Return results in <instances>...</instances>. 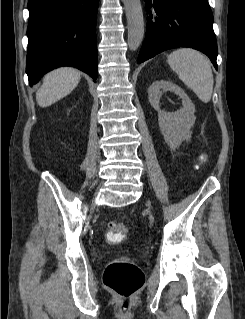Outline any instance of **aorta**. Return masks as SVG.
Wrapping results in <instances>:
<instances>
[{
    "label": "aorta",
    "mask_w": 245,
    "mask_h": 319,
    "mask_svg": "<svg viewBox=\"0 0 245 319\" xmlns=\"http://www.w3.org/2000/svg\"><path fill=\"white\" fill-rule=\"evenodd\" d=\"M127 18L128 47L136 51L144 37V19L140 0H122Z\"/></svg>",
    "instance_id": "obj_1"
}]
</instances>
